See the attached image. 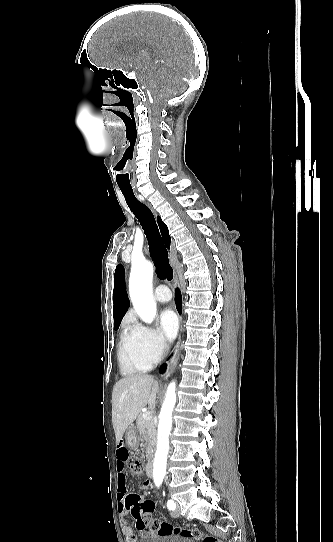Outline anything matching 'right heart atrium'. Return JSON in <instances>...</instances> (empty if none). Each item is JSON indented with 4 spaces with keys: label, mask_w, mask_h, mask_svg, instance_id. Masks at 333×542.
Here are the masks:
<instances>
[{
    "label": "right heart atrium",
    "mask_w": 333,
    "mask_h": 542,
    "mask_svg": "<svg viewBox=\"0 0 333 542\" xmlns=\"http://www.w3.org/2000/svg\"><path fill=\"white\" fill-rule=\"evenodd\" d=\"M133 337L143 346V348L156 357L164 356L168 351V344L161 334L154 328L135 324Z\"/></svg>",
    "instance_id": "right-heart-atrium-1"
}]
</instances>
